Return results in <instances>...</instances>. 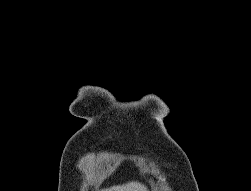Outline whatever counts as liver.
<instances>
[{
    "mask_svg": "<svg viewBox=\"0 0 251 191\" xmlns=\"http://www.w3.org/2000/svg\"><path fill=\"white\" fill-rule=\"evenodd\" d=\"M101 191H148L147 187L139 181H129V183H123V185H113L108 189H101Z\"/></svg>",
    "mask_w": 251,
    "mask_h": 191,
    "instance_id": "1",
    "label": "liver"
}]
</instances>
